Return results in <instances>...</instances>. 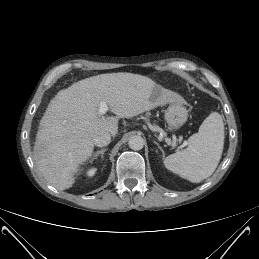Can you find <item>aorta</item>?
I'll return each mask as SVG.
<instances>
[{
    "mask_svg": "<svg viewBox=\"0 0 259 259\" xmlns=\"http://www.w3.org/2000/svg\"><path fill=\"white\" fill-rule=\"evenodd\" d=\"M128 145L132 150H141L144 147V139L138 135L132 136L128 141Z\"/></svg>",
    "mask_w": 259,
    "mask_h": 259,
    "instance_id": "762f6f07",
    "label": "aorta"
}]
</instances>
